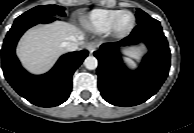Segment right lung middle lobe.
Wrapping results in <instances>:
<instances>
[{"label":"right lung middle lobe","instance_id":"1","mask_svg":"<svg viewBox=\"0 0 194 133\" xmlns=\"http://www.w3.org/2000/svg\"><path fill=\"white\" fill-rule=\"evenodd\" d=\"M65 8L57 5H40L30 9L29 11L23 13L15 21L28 19L33 20L37 18L44 17H54L56 14L60 16H65Z\"/></svg>","mask_w":194,"mask_h":133}]
</instances>
